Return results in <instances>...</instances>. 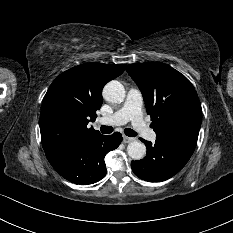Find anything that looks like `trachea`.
Wrapping results in <instances>:
<instances>
[{
    "mask_svg": "<svg viewBox=\"0 0 233 233\" xmlns=\"http://www.w3.org/2000/svg\"><path fill=\"white\" fill-rule=\"evenodd\" d=\"M100 131H101L103 134H110V133L113 131V128H112L111 126L102 125V126L100 127ZM124 133H125L127 136H129V137H134V136L137 135V133H136L134 130L130 129V128H126V129L124 130Z\"/></svg>",
    "mask_w": 233,
    "mask_h": 233,
    "instance_id": "trachea-1",
    "label": "trachea"
}]
</instances>
